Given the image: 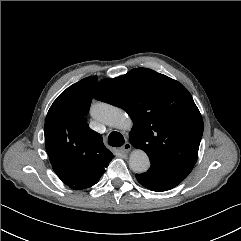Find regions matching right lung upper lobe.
I'll use <instances>...</instances> for the list:
<instances>
[{"label":"right lung upper lobe","mask_w":241,"mask_h":241,"mask_svg":"<svg viewBox=\"0 0 241 241\" xmlns=\"http://www.w3.org/2000/svg\"><path fill=\"white\" fill-rule=\"evenodd\" d=\"M97 77H87L63 91L51 105L45 120V147L52 166H73L104 171L113 154L100 134L91 130L88 113Z\"/></svg>","instance_id":"obj_1"}]
</instances>
